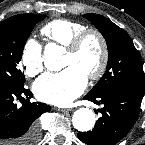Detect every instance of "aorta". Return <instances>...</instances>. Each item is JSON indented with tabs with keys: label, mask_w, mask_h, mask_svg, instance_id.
<instances>
[{
	"label": "aorta",
	"mask_w": 145,
	"mask_h": 145,
	"mask_svg": "<svg viewBox=\"0 0 145 145\" xmlns=\"http://www.w3.org/2000/svg\"><path fill=\"white\" fill-rule=\"evenodd\" d=\"M65 53L64 47L56 43H48L44 48V65L50 71L62 69L61 58ZM95 114L89 108L76 110L72 117L74 128L81 132L91 130L95 125Z\"/></svg>",
	"instance_id": "aorta-1"
}]
</instances>
